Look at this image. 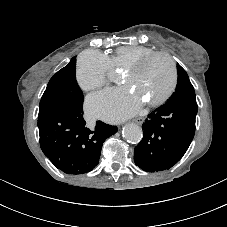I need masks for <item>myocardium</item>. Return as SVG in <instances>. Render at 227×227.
Here are the masks:
<instances>
[{
	"instance_id": "obj_1",
	"label": "myocardium",
	"mask_w": 227,
	"mask_h": 227,
	"mask_svg": "<svg viewBox=\"0 0 227 227\" xmlns=\"http://www.w3.org/2000/svg\"><path fill=\"white\" fill-rule=\"evenodd\" d=\"M157 57H164L166 58L170 65H171V69H172V82L170 87L168 88V90L161 95L159 98L152 100V101H148L147 105L149 106H158L161 105L162 103H164L166 100H168L171 95L174 93L177 84H178V70H177V66L176 63L174 61V59L172 58L171 55H169L166 52H154L151 54H148L144 57H142L141 59H139L137 62H135L134 64H132L131 66H129L125 71L126 74H135L140 72L151 60H153L154 58Z\"/></svg>"
}]
</instances>
